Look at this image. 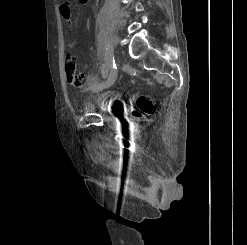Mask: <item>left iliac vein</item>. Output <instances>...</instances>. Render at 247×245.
<instances>
[{
  "mask_svg": "<svg viewBox=\"0 0 247 245\" xmlns=\"http://www.w3.org/2000/svg\"><path fill=\"white\" fill-rule=\"evenodd\" d=\"M108 45H109V44H108ZM113 48H114V47H113ZM116 76H117V71L115 70V71L113 72V77L111 78V80H110L108 83H106V84H94V85L92 86V89L96 91V90L103 89V88H105V87L111 85V84L115 81Z\"/></svg>",
  "mask_w": 247,
  "mask_h": 245,
  "instance_id": "left-iliac-vein-1",
  "label": "left iliac vein"
}]
</instances>
